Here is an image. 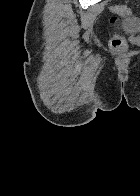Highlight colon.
Instances as JSON below:
<instances>
[{
    "mask_svg": "<svg viewBox=\"0 0 140 196\" xmlns=\"http://www.w3.org/2000/svg\"><path fill=\"white\" fill-rule=\"evenodd\" d=\"M110 11L114 14L110 18V26L113 30V36L110 41L111 48L114 53L124 55L127 51V41L120 32L121 18L129 14V8L123 4H115L110 7Z\"/></svg>",
    "mask_w": 140,
    "mask_h": 196,
    "instance_id": "obj_1",
    "label": "colon"
}]
</instances>
